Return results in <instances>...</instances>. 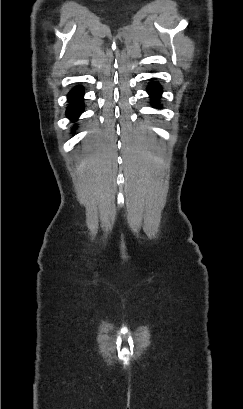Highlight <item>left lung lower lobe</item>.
Instances as JSON below:
<instances>
[{"mask_svg": "<svg viewBox=\"0 0 243 409\" xmlns=\"http://www.w3.org/2000/svg\"><path fill=\"white\" fill-rule=\"evenodd\" d=\"M147 92L150 94L152 102L154 105H157V101L160 98L162 93V88L159 84L152 83L148 88Z\"/></svg>", "mask_w": 243, "mask_h": 409, "instance_id": "0a47b994", "label": "left lung lower lobe"}]
</instances>
